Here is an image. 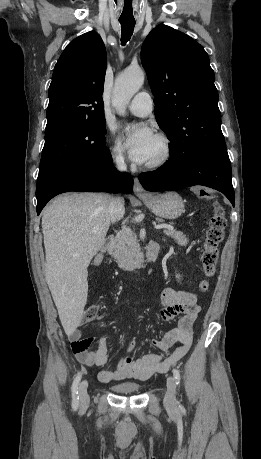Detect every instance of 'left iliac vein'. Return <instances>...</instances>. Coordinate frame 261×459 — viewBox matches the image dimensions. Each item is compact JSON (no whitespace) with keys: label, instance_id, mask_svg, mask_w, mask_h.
<instances>
[{"label":"left iliac vein","instance_id":"left-iliac-vein-1","mask_svg":"<svg viewBox=\"0 0 261 459\" xmlns=\"http://www.w3.org/2000/svg\"><path fill=\"white\" fill-rule=\"evenodd\" d=\"M167 391L164 397V405L169 410H174L177 407L176 399V383L175 379L172 376L167 378Z\"/></svg>","mask_w":261,"mask_h":459}]
</instances>
